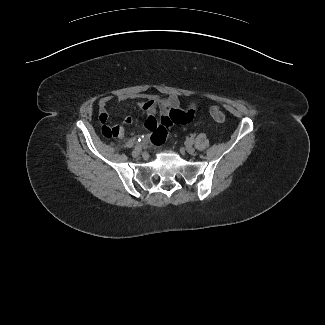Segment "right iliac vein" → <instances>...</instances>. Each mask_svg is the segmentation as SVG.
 <instances>
[{"mask_svg": "<svg viewBox=\"0 0 325 325\" xmlns=\"http://www.w3.org/2000/svg\"><path fill=\"white\" fill-rule=\"evenodd\" d=\"M132 155H133L134 157H137V156L140 155V147H139V146H136L135 149H133V151H132Z\"/></svg>", "mask_w": 325, "mask_h": 325, "instance_id": "right-iliac-vein-1", "label": "right iliac vein"}]
</instances>
